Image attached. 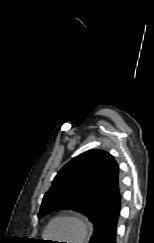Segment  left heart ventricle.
<instances>
[{"label": "left heart ventricle", "instance_id": "obj_1", "mask_svg": "<svg viewBox=\"0 0 154 243\" xmlns=\"http://www.w3.org/2000/svg\"><path fill=\"white\" fill-rule=\"evenodd\" d=\"M49 236L55 238H68L71 243L77 238V229L74 223L69 221H57L49 231Z\"/></svg>", "mask_w": 154, "mask_h": 243}]
</instances>
